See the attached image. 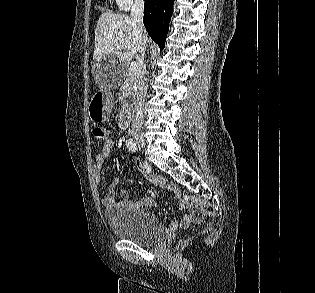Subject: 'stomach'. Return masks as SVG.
I'll list each match as a JSON object with an SVG mask.
<instances>
[{"label":"stomach","instance_id":"1","mask_svg":"<svg viewBox=\"0 0 315 293\" xmlns=\"http://www.w3.org/2000/svg\"><path fill=\"white\" fill-rule=\"evenodd\" d=\"M113 104L111 93H96L89 106V116L94 122L107 120Z\"/></svg>","mask_w":315,"mask_h":293}]
</instances>
